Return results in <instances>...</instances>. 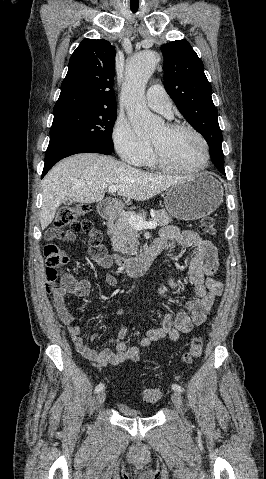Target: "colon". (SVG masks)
<instances>
[{
	"label": "colon",
	"instance_id": "colon-1",
	"mask_svg": "<svg viewBox=\"0 0 266 479\" xmlns=\"http://www.w3.org/2000/svg\"><path fill=\"white\" fill-rule=\"evenodd\" d=\"M90 211L88 204H77L66 206L59 210L56 218V228L47 233L48 242L44 247V256L46 259V281L47 289L51 291L59 276V269L66 263L67 257L63 250L55 244L54 240L58 238V233L62 228H68V231L73 234H84L89 238L91 244L97 245L101 250H104L100 245L101 234L95 228L92 221L82 218ZM199 231L203 235L215 236L217 231L215 228L214 219L211 217L203 218L199 225ZM203 350V339L201 337H194L191 339L189 346L182 356V361L185 364H190L193 360L201 356ZM161 397V392L156 388H146L143 391V399L147 403H157Z\"/></svg>",
	"mask_w": 266,
	"mask_h": 479
}]
</instances>
